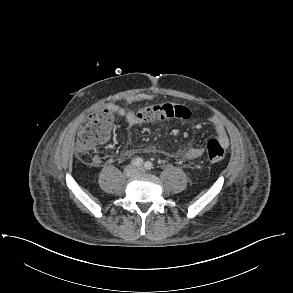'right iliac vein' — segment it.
Segmentation results:
<instances>
[{"label": "right iliac vein", "instance_id": "1", "mask_svg": "<svg viewBox=\"0 0 293 293\" xmlns=\"http://www.w3.org/2000/svg\"><path fill=\"white\" fill-rule=\"evenodd\" d=\"M137 173V170L134 166L132 165H129L127 166L125 169H124V174L127 176V177H132L134 176L135 174Z\"/></svg>", "mask_w": 293, "mask_h": 293}]
</instances>
